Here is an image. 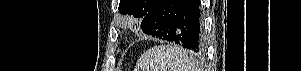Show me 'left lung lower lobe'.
Instances as JSON below:
<instances>
[{"label": "left lung lower lobe", "mask_w": 301, "mask_h": 71, "mask_svg": "<svg viewBox=\"0 0 301 71\" xmlns=\"http://www.w3.org/2000/svg\"><path fill=\"white\" fill-rule=\"evenodd\" d=\"M142 31L184 48L204 47L199 0H158L141 23Z\"/></svg>", "instance_id": "0a47b994"}]
</instances>
